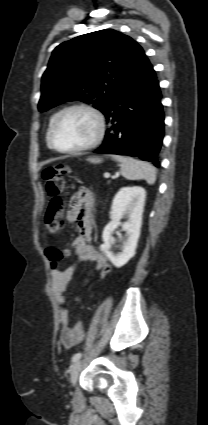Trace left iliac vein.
<instances>
[{"label":"left iliac vein","mask_w":208,"mask_h":425,"mask_svg":"<svg viewBox=\"0 0 208 425\" xmlns=\"http://www.w3.org/2000/svg\"><path fill=\"white\" fill-rule=\"evenodd\" d=\"M82 362L81 360H77L73 363L70 373V379L71 383L74 385L77 382V379L79 377V373L81 371Z\"/></svg>","instance_id":"left-iliac-vein-1"}]
</instances>
